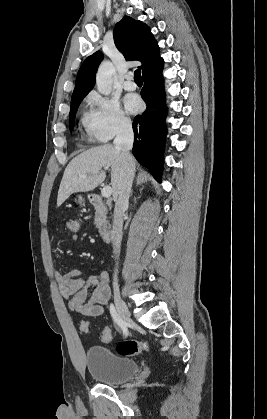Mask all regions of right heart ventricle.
<instances>
[{"instance_id":"obj_1","label":"right heart ventricle","mask_w":267,"mask_h":419,"mask_svg":"<svg viewBox=\"0 0 267 419\" xmlns=\"http://www.w3.org/2000/svg\"><path fill=\"white\" fill-rule=\"evenodd\" d=\"M92 123H93L92 113L84 112L81 117V125L84 128V130L89 134H91Z\"/></svg>"}]
</instances>
